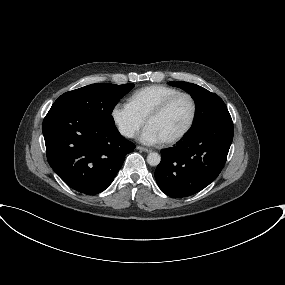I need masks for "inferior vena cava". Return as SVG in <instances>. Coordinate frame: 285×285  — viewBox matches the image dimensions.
I'll list each match as a JSON object with an SVG mask.
<instances>
[{
  "instance_id": "1",
  "label": "inferior vena cava",
  "mask_w": 285,
  "mask_h": 285,
  "mask_svg": "<svg viewBox=\"0 0 285 285\" xmlns=\"http://www.w3.org/2000/svg\"><path fill=\"white\" fill-rule=\"evenodd\" d=\"M125 136L129 137V138H132L134 136V131L133 130H128L126 133H125Z\"/></svg>"
}]
</instances>
